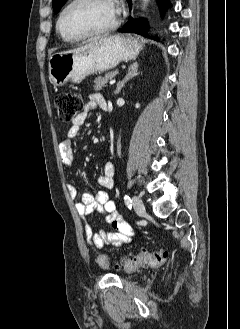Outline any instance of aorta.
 <instances>
[{"label": "aorta", "instance_id": "aorta-1", "mask_svg": "<svg viewBox=\"0 0 240 329\" xmlns=\"http://www.w3.org/2000/svg\"><path fill=\"white\" fill-rule=\"evenodd\" d=\"M149 0H143L144 5L148 2Z\"/></svg>", "mask_w": 240, "mask_h": 329}]
</instances>
